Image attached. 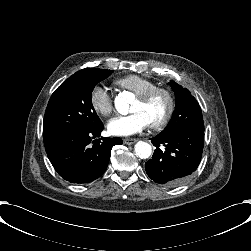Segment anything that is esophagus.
I'll use <instances>...</instances> for the list:
<instances>
[{
    "label": "esophagus",
    "mask_w": 251,
    "mask_h": 251,
    "mask_svg": "<svg viewBox=\"0 0 251 251\" xmlns=\"http://www.w3.org/2000/svg\"><path fill=\"white\" fill-rule=\"evenodd\" d=\"M136 142H137V140L133 139V138H125L124 139V144H126V145H131V144H134Z\"/></svg>",
    "instance_id": "34e87169"
}]
</instances>
